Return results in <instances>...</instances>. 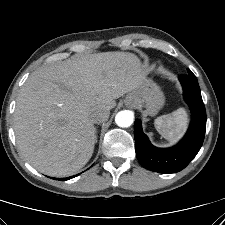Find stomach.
<instances>
[{
	"instance_id": "obj_1",
	"label": "stomach",
	"mask_w": 225,
	"mask_h": 225,
	"mask_svg": "<svg viewBox=\"0 0 225 225\" xmlns=\"http://www.w3.org/2000/svg\"><path fill=\"white\" fill-rule=\"evenodd\" d=\"M128 98L134 99L137 106H144L150 115H155L165 101L162 91L152 81H148L147 85L139 91L130 93Z\"/></svg>"
}]
</instances>
